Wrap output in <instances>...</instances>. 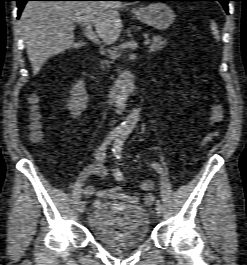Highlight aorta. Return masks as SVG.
<instances>
[{
	"mask_svg": "<svg viewBox=\"0 0 247 265\" xmlns=\"http://www.w3.org/2000/svg\"><path fill=\"white\" fill-rule=\"evenodd\" d=\"M140 110L134 108L132 112L127 116L125 121L121 124V130L125 133H130L139 121Z\"/></svg>",
	"mask_w": 247,
	"mask_h": 265,
	"instance_id": "762f6f07",
	"label": "aorta"
}]
</instances>
